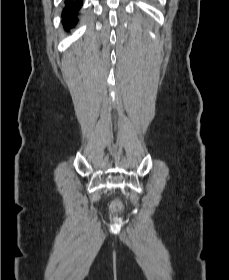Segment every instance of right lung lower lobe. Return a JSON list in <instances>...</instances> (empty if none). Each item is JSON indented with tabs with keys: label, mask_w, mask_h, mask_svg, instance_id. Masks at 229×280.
I'll use <instances>...</instances> for the list:
<instances>
[{
	"label": "right lung lower lobe",
	"mask_w": 229,
	"mask_h": 280,
	"mask_svg": "<svg viewBox=\"0 0 229 280\" xmlns=\"http://www.w3.org/2000/svg\"><path fill=\"white\" fill-rule=\"evenodd\" d=\"M71 2L73 0H67L65 9L63 11L62 17H63V23L66 30H69L71 27H73L77 21L76 15L77 10L82 5V0H75L72 5Z\"/></svg>",
	"instance_id": "98d812e1"
}]
</instances>
